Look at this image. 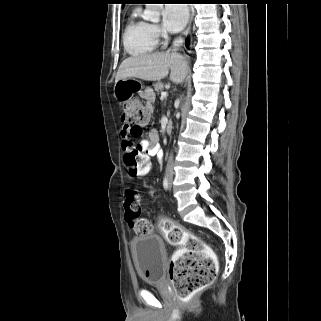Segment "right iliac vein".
Wrapping results in <instances>:
<instances>
[{
	"label": "right iliac vein",
	"mask_w": 321,
	"mask_h": 321,
	"mask_svg": "<svg viewBox=\"0 0 321 321\" xmlns=\"http://www.w3.org/2000/svg\"><path fill=\"white\" fill-rule=\"evenodd\" d=\"M172 180V176L171 175H169V181H171Z\"/></svg>",
	"instance_id": "63e3f726"
}]
</instances>
